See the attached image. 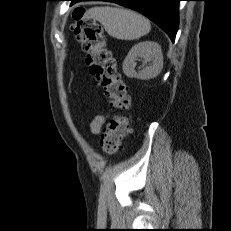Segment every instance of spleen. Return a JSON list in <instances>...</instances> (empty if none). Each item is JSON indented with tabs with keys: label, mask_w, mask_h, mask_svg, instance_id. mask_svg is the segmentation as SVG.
<instances>
[{
	"label": "spleen",
	"mask_w": 231,
	"mask_h": 231,
	"mask_svg": "<svg viewBox=\"0 0 231 231\" xmlns=\"http://www.w3.org/2000/svg\"><path fill=\"white\" fill-rule=\"evenodd\" d=\"M88 14L99 21L106 32L116 39H139L151 30L150 21L131 10L108 6L93 7L88 10Z\"/></svg>",
	"instance_id": "obj_1"
}]
</instances>
